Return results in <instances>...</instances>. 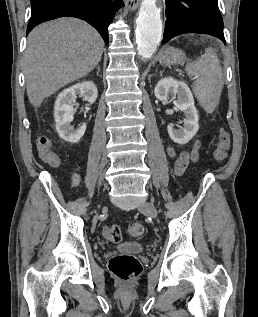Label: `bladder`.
Wrapping results in <instances>:
<instances>
[{"instance_id": "31cf9c89", "label": "bladder", "mask_w": 258, "mask_h": 317, "mask_svg": "<svg viewBox=\"0 0 258 317\" xmlns=\"http://www.w3.org/2000/svg\"><path fill=\"white\" fill-rule=\"evenodd\" d=\"M118 250L121 254L134 256L143 252L144 248L139 243H123L118 246Z\"/></svg>"}]
</instances>
